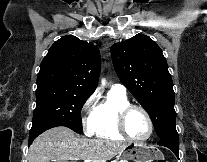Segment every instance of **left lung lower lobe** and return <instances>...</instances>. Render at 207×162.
Instances as JSON below:
<instances>
[{"instance_id": "1", "label": "left lung lower lobe", "mask_w": 207, "mask_h": 162, "mask_svg": "<svg viewBox=\"0 0 207 162\" xmlns=\"http://www.w3.org/2000/svg\"><path fill=\"white\" fill-rule=\"evenodd\" d=\"M159 145L169 148L179 158L178 133L170 134L159 139Z\"/></svg>"}]
</instances>
